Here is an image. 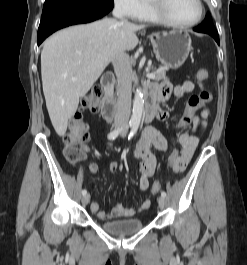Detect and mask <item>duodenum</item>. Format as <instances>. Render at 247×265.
Wrapping results in <instances>:
<instances>
[{
	"mask_svg": "<svg viewBox=\"0 0 247 265\" xmlns=\"http://www.w3.org/2000/svg\"><path fill=\"white\" fill-rule=\"evenodd\" d=\"M115 76L111 72H106L102 76L101 84L104 89V99L102 103V115L105 119L111 120L116 114V105L113 99V87ZM145 114L146 121H151L156 116L157 92L155 89L146 87L145 91Z\"/></svg>",
	"mask_w": 247,
	"mask_h": 265,
	"instance_id": "obj_1",
	"label": "duodenum"
}]
</instances>
